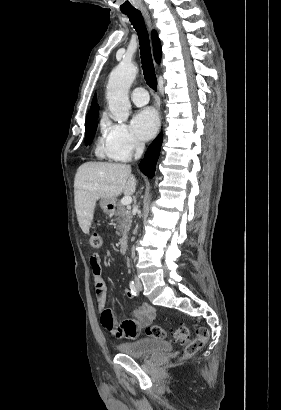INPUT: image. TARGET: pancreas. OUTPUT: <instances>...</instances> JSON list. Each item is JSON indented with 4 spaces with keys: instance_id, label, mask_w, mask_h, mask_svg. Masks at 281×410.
Wrapping results in <instances>:
<instances>
[{
    "instance_id": "1",
    "label": "pancreas",
    "mask_w": 281,
    "mask_h": 410,
    "mask_svg": "<svg viewBox=\"0 0 281 410\" xmlns=\"http://www.w3.org/2000/svg\"><path fill=\"white\" fill-rule=\"evenodd\" d=\"M114 215L116 217V222L118 224V235H122L125 237L130 230L131 223H132V215L131 213L126 209V207L120 203L116 204V210L114 212Z\"/></svg>"
}]
</instances>
